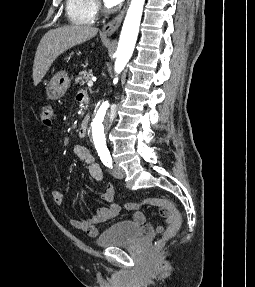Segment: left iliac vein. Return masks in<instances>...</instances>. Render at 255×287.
Here are the masks:
<instances>
[{"label": "left iliac vein", "mask_w": 255, "mask_h": 287, "mask_svg": "<svg viewBox=\"0 0 255 287\" xmlns=\"http://www.w3.org/2000/svg\"><path fill=\"white\" fill-rule=\"evenodd\" d=\"M111 172H112L113 176L118 178V179H122L125 177V172H124L123 168L120 166H115Z\"/></svg>", "instance_id": "obj_1"}]
</instances>
